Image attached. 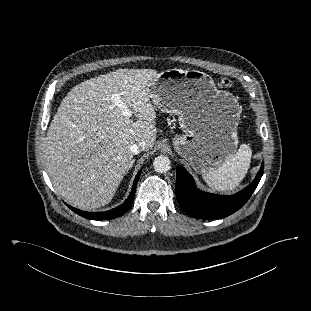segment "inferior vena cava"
<instances>
[{
	"instance_id": "1",
	"label": "inferior vena cava",
	"mask_w": 311,
	"mask_h": 311,
	"mask_svg": "<svg viewBox=\"0 0 311 311\" xmlns=\"http://www.w3.org/2000/svg\"><path fill=\"white\" fill-rule=\"evenodd\" d=\"M145 148V143L142 142V143H139V144H133L130 146V150L133 154H138L140 153L141 151H143Z\"/></svg>"
}]
</instances>
